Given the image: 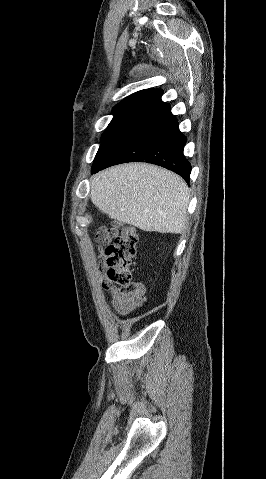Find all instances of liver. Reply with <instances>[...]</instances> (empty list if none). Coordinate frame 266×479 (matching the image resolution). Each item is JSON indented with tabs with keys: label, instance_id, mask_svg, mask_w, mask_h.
Returning <instances> with one entry per match:
<instances>
[{
	"label": "liver",
	"instance_id": "1",
	"mask_svg": "<svg viewBox=\"0 0 266 479\" xmlns=\"http://www.w3.org/2000/svg\"><path fill=\"white\" fill-rule=\"evenodd\" d=\"M90 197L109 218L146 232L181 234L186 229L189 191L166 169L129 163L91 178Z\"/></svg>",
	"mask_w": 266,
	"mask_h": 479
}]
</instances>
